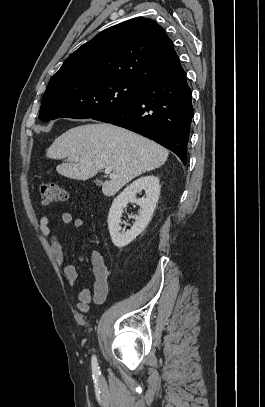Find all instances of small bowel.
I'll list each match as a JSON object with an SVG mask.
<instances>
[{
	"mask_svg": "<svg viewBox=\"0 0 265 407\" xmlns=\"http://www.w3.org/2000/svg\"><path fill=\"white\" fill-rule=\"evenodd\" d=\"M54 213L55 212L50 209L44 210L40 213L38 217L39 229L50 246L55 262L58 265L63 266L66 280L70 285H74L78 277L77 269L72 264H65V253L62 245L50 228V218ZM60 217L62 223L72 224L74 229L79 230L84 226V220L82 218H74L69 212L61 213ZM91 266L94 276L92 289L84 287L78 293L77 308L83 313L88 312L89 304L92 301L97 305L102 304L106 300L109 291V271L99 253H93L91 257Z\"/></svg>",
	"mask_w": 265,
	"mask_h": 407,
	"instance_id": "1",
	"label": "small bowel"
}]
</instances>
